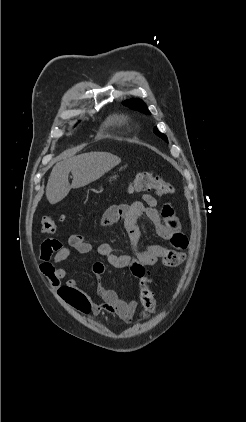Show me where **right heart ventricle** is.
Masks as SVG:
<instances>
[{
  "mask_svg": "<svg viewBox=\"0 0 246 422\" xmlns=\"http://www.w3.org/2000/svg\"><path fill=\"white\" fill-rule=\"evenodd\" d=\"M121 123H124L125 122V120L123 119V118H119L118 119Z\"/></svg>",
  "mask_w": 246,
  "mask_h": 422,
  "instance_id": "obj_1",
  "label": "right heart ventricle"
}]
</instances>
